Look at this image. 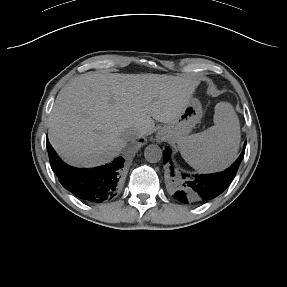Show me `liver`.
<instances>
[{"instance_id":"obj_1","label":"liver","mask_w":287,"mask_h":287,"mask_svg":"<svg viewBox=\"0 0 287 287\" xmlns=\"http://www.w3.org/2000/svg\"><path fill=\"white\" fill-rule=\"evenodd\" d=\"M198 85L169 75L82 74L57 95L49 116L50 143L69 165H104L127 144L126 129L150 134L154 120L174 121Z\"/></svg>"}]
</instances>
